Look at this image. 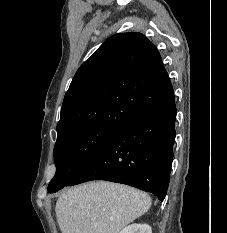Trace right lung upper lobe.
Segmentation results:
<instances>
[{
	"mask_svg": "<svg viewBox=\"0 0 227 233\" xmlns=\"http://www.w3.org/2000/svg\"><path fill=\"white\" fill-rule=\"evenodd\" d=\"M173 93L157 48L141 33L116 34L77 70L57 134L88 126L119 129Z\"/></svg>",
	"mask_w": 227,
	"mask_h": 233,
	"instance_id": "1",
	"label": "right lung upper lobe"
}]
</instances>
